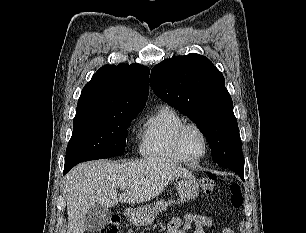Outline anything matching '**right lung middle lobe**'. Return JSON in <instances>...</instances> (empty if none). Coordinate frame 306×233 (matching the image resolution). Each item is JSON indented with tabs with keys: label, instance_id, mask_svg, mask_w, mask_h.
Wrapping results in <instances>:
<instances>
[{
	"label": "right lung middle lobe",
	"instance_id": "obj_1",
	"mask_svg": "<svg viewBox=\"0 0 306 233\" xmlns=\"http://www.w3.org/2000/svg\"><path fill=\"white\" fill-rule=\"evenodd\" d=\"M139 111L106 108H77L73 133L66 149L65 167L87 160L123 153L126 132Z\"/></svg>",
	"mask_w": 306,
	"mask_h": 233
}]
</instances>
